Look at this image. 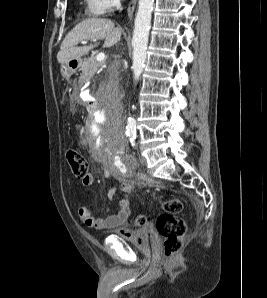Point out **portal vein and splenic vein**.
<instances>
[{"instance_id": "18ae733b", "label": "portal vein and splenic vein", "mask_w": 267, "mask_h": 298, "mask_svg": "<svg viewBox=\"0 0 267 298\" xmlns=\"http://www.w3.org/2000/svg\"><path fill=\"white\" fill-rule=\"evenodd\" d=\"M93 41H96L95 39ZM82 44H86L87 41H81ZM105 59V54L104 53H99L97 56H96V60L98 62H101Z\"/></svg>"}]
</instances>
